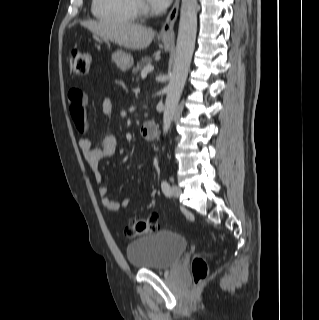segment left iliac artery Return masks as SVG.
<instances>
[{
    "mask_svg": "<svg viewBox=\"0 0 319 320\" xmlns=\"http://www.w3.org/2000/svg\"><path fill=\"white\" fill-rule=\"evenodd\" d=\"M161 188L165 196L170 197L172 195V190L167 181H162Z\"/></svg>",
    "mask_w": 319,
    "mask_h": 320,
    "instance_id": "obj_1",
    "label": "left iliac artery"
}]
</instances>
